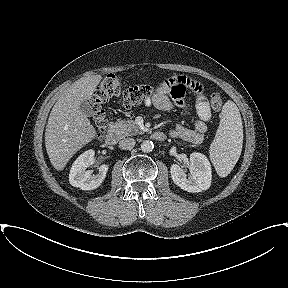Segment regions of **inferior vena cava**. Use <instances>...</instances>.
<instances>
[{"label": "inferior vena cava", "instance_id": "1", "mask_svg": "<svg viewBox=\"0 0 288 288\" xmlns=\"http://www.w3.org/2000/svg\"><path fill=\"white\" fill-rule=\"evenodd\" d=\"M135 143L133 138H124L119 142V147L123 150H129L135 146Z\"/></svg>", "mask_w": 288, "mask_h": 288}]
</instances>
